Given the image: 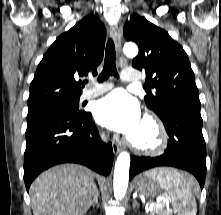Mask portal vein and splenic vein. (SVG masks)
<instances>
[{"instance_id": "1", "label": "portal vein and splenic vein", "mask_w": 221, "mask_h": 215, "mask_svg": "<svg viewBox=\"0 0 221 215\" xmlns=\"http://www.w3.org/2000/svg\"><path fill=\"white\" fill-rule=\"evenodd\" d=\"M164 203L167 205V204H168V201H166V202H164ZM165 204H164V205H165ZM157 207H161V204L157 205ZM149 209H150V210H154V207H150Z\"/></svg>"}]
</instances>
